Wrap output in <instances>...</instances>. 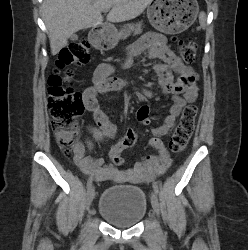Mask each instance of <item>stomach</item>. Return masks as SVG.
<instances>
[{"mask_svg":"<svg viewBox=\"0 0 248 250\" xmlns=\"http://www.w3.org/2000/svg\"><path fill=\"white\" fill-rule=\"evenodd\" d=\"M198 12L196 0H155L147 8V17L156 30L166 34H177L194 23ZM101 37L107 42V49L113 48L119 39L115 28H104Z\"/></svg>","mask_w":248,"mask_h":250,"instance_id":"stomach-1","label":"stomach"}]
</instances>
